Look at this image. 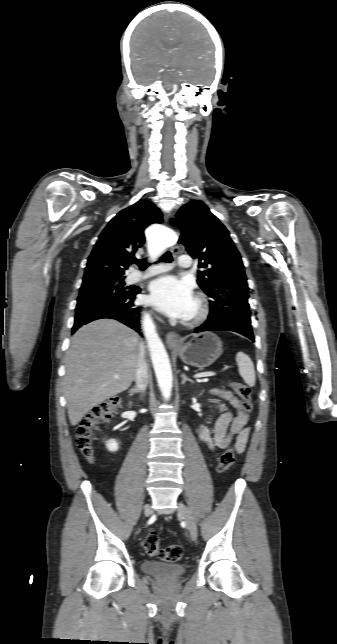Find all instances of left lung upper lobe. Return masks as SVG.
I'll return each mask as SVG.
<instances>
[{"instance_id":"1","label":"left lung upper lobe","mask_w":337,"mask_h":644,"mask_svg":"<svg viewBox=\"0 0 337 644\" xmlns=\"http://www.w3.org/2000/svg\"><path fill=\"white\" fill-rule=\"evenodd\" d=\"M173 222V221H172ZM178 243L198 258V284L211 298L209 319H222L252 330L248 285L241 256L229 231L201 201L185 204L176 215Z\"/></svg>"}]
</instances>
